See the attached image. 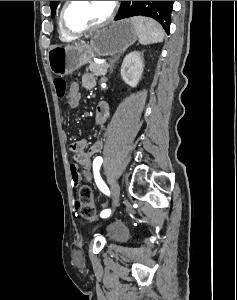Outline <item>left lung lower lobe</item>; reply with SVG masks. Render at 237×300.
<instances>
[{"mask_svg": "<svg viewBox=\"0 0 237 300\" xmlns=\"http://www.w3.org/2000/svg\"><path fill=\"white\" fill-rule=\"evenodd\" d=\"M165 5H173V1H164Z\"/></svg>", "mask_w": 237, "mask_h": 300, "instance_id": "obj_1", "label": "left lung lower lobe"}]
</instances>
